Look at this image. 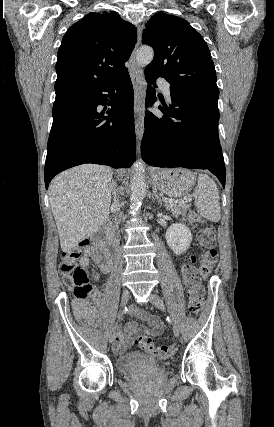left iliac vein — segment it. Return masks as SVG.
Instances as JSON below:
<instances>
[{
  "instance_id": "1",
  "label": "left iliac vein",
  "mask_w": 274,
  "mask_h": 427,
  "mask_svg": "<svg viewBox=\"0 0 274 427\" xmlns=\"http://www.w3.org/2000/svg\"><path fill=\"white\" fill-rule=\"evenodd\" d=\"M150 300H151V303L155 307H157L158 309H161V310H165L166 309L163 300L158 295H156L155 293H151L150 294ZM172 325H173L174 336L177 338V337H179V334H180L179 326H178V324H177L176 321H173Z\"/></svg>"
}]
</instances>
